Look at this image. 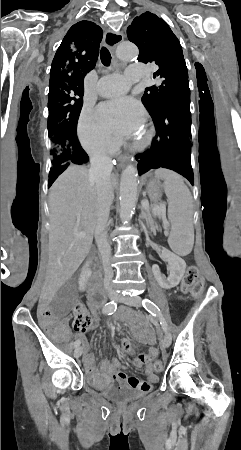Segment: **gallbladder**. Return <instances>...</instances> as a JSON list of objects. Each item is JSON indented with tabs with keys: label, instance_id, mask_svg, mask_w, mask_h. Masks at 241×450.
Masks as SVG:
<instances>
[{
	"label": "gallbladder",
	"instance_id": "gallbladder-1",
	"mask_svg": "<svg viewBox=\"0 0 241 450\" xmlns=\"http://www.w3.org/2000/svg\"><path fill=\"white\" fill-rule=\"evenodd\" d=\"M79 276L72 274L70 281H64L56 293V301H52L51 308L56 320H65L72 314L75 305L78 304L77 288Z\"/></svg>",
	"mask_w": 241,
	"mask_h": 450
}]
</instances>
